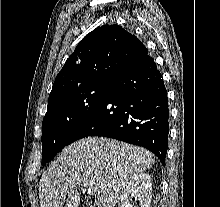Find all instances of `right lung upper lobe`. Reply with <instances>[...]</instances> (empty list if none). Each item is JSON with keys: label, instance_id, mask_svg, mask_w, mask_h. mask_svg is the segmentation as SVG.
I'll use <instances>...</instances> for the list:
<instances>
[{"label": "right lung upper lobe", "instance_id": "right-lung-upper-lobe-1", "mask_svg": "<svg viewBox=\"0 0 220 207\" xmlns=\"http://www.w3.org/2000/svg\"><path fill=\"white\" fill-rule=\"evenodd\" d=\"M144 44L118 25L97 27L77 45L53 84L48 102L78 88L109 82L147 55Z\"/></svg>", "mask_w": 220, "mask_h": 207}]
</instances>
